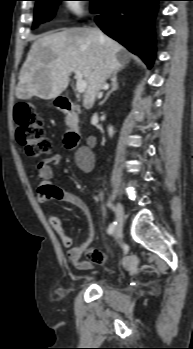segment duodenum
I'll return each mask as SVG.
<instances>
[{"instance_id":"1","label":"duodenum","mask_w":193,"mask_h":349,"mask_svg":"<svg viewBox=\"0 0 193 349\" xmlns=\"http://www.w3.org/2000/svg\"><path fill=\"white\" fill-rule=\"evenodd\" d=\"M57 106L67 119L68 129L64 136V143L69 150H75L81 138V131L76 119L75 102L67 98L59 97L57 99Z\"/></svg>"}]
</instances>
